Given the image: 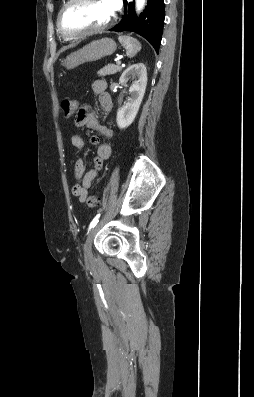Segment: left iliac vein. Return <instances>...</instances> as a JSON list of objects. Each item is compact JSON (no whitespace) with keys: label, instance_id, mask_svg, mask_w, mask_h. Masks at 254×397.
Instances as JSON below:
<instances>
[{"label":"left iliac vein","instance_id":"1","mask_svg":"<svg viewBox=\"0 0 254 397\" xmlns=\"http://www.w3.org/2000/svg\"><path fill=\"white\" fill-rule=\"evenodd\" d=\"M100 224H101V223H99L98 225L94 226V227L90 230V232H89V234H88V236H87V239H86V241H85V244H84V255H85V259H86L87 262H91L92 259H93V254H92V242H93V238H94L96 232H97L98 229H99Z\"/></svg>","mask_w":254,"mask_h":397}]
</instances>
